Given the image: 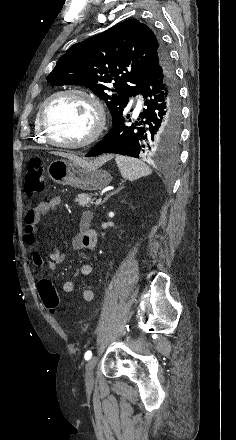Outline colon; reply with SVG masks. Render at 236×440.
<instances>
[{"label": "colon", "instance_id": "colon-1", "mask_svg": "<svg viewBox=\"0 0 236 440\" xmlns=\"http://www.w3.org/2000/svg\"><path fill=\"white\" fill-rule=\"evenodd\" d=\"M46 175L44 164L39 158H32L27 165L25 189L28 193H41L45 188ZM39 293L46 309L54 312L59 307V296L49 280H40Z\"/></svg>", "mask_w": 236, "mask_h": 440}]
</instances>
